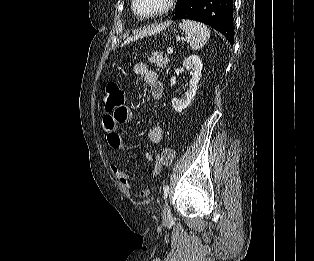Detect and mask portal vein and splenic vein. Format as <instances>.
Wrapping results in <instances>:
<instances>
[{"instance_id":"18ae733b","label":"portal vein and splenic vein","mask_w":314,"mask_h":261,"mask_svg":"<svg viewBox=\"0 0 314 261\" xmlns=\"http://www.w3.org/2000/svg\"><path fill=\"white\" fill-rule=\"evenodd\" d=\"M167 53H168L169 55H171V54L173 53V49L169 48V49L167 50Z\"/></svg>"}]
</instances>
